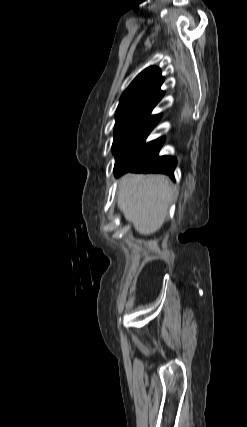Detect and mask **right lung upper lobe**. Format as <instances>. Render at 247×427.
Listing matches in <instances>:
<instances>
[{
  "instance_id": "obj_1",
  "label": "right lung upper lobe",
  "mask_w": 247,
  "mask_h": 427,
  "mask_svg": "<svg viewBox=\"0 0 247 427\" xmlns=\"http://www.w3.org/2000/svg\"><path fill=\"white\" fill-rule=\"evenodd\" d=\"M163 77L159 68L151 66L143 70L121 96L116 114L145 113L150 115L161 100L160 87Z\"/></svg>"
}]
</instances>
